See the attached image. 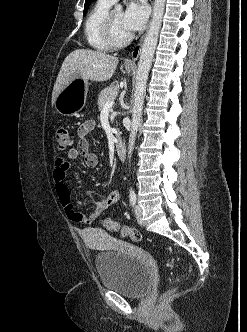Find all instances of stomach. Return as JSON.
Masks as SVG:
<instances>
[{
	"label": "stomach",
	"instance_id": "0dacf381",
	"mask_svg": "<svg viewBox=\"0 0 247 332\" xmlns=\"http://www.w3.org/2000/svg\"><path fill=\"white\" fill-rule=\"evenodd\" d=\"M128 73L133 69L126 68ZM88 80L82 77L73 79L58 94L55 100L56 111L64 116H74L78 114L85 105L88 93Z\"/></svg>",
	"mask_w": 247,
	"mask_h": 332
}]
</instances>
